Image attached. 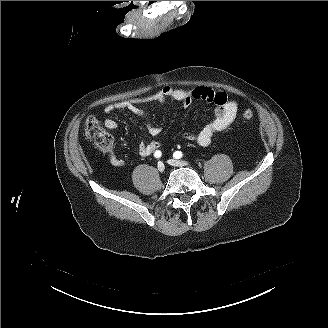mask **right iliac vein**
Segmentation results:
<instances>
[{
  "mask_svg": "<svg viewBox=\"0 0 328 328\" xmlns=\"http://www.w3.org/2000/svg\"><path fill=\"white\" fill-rule=\"evenodd\" d=\"M165 170V165L162 162L158 163V171L159 172H164Z\"/></svg>",
  "mask_w": 328,
  "mask_h": 328,
  "instance_id": "right-iliac-vein-1",
  "label": "right iliac vein"
}]
</instances>
